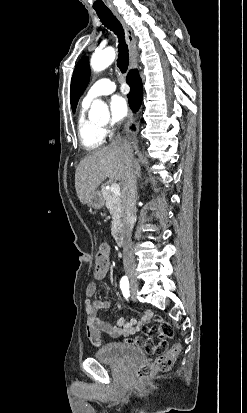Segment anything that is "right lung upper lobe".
Segmentation results:
<instances>
[{
  "instance_id": "1",
  "label": "right lung upper lobe",
  "mask_w": 247,
  "mask_h": 413,
  "mask_svg": "<svg viewBox=\"0 0 247 413\" xmlns=\"http://www.w3.org/2000/svg\"><path fill=\"white\" fill-rule=\"evenodd\" d=\"M135 70H132V71H130L129 73H132V72H134Z\"/></svg>"
}]
</instances>
